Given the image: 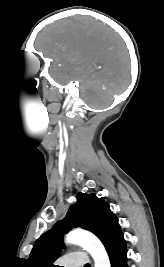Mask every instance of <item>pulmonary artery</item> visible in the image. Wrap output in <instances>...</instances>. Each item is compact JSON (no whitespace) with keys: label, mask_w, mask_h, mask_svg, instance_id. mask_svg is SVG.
I'll use <instances>...</instances> for the list:
<instances>
[{"label":"pulmonary artery","mask_w":164,"mask_h":267,"mask_svg":"<svg viewBox=\"0 0 164 267\" xmlns=\"http://www.w3.org/2000/svg\"><path fill=\"white\" fill-rule=\"evenodd\" d=\"M88 263V257L85 254L72 252L64 259V267H83Z\"/></svg>","instance_id":"1"}]
</instances>
